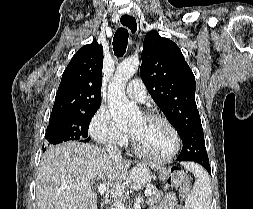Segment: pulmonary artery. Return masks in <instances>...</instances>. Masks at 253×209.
<instances>
[{
    "label": "pulmonary artery",
    "mask_w": 253,
    "mask_h": 209,
    "mask_svg": "<svg viewBox=\"0 0 253 209\" xmlns=\"http://www.w3.org/2000/svg\"><path fill=\"white\" fill-rule=\"evenodd\" d=\"M126 93L129 98L144 102L147 96L146 88L140 79H133L126 87Z\"/></svg>",
    "instance_id": "obj_1"
}]
</instances>
